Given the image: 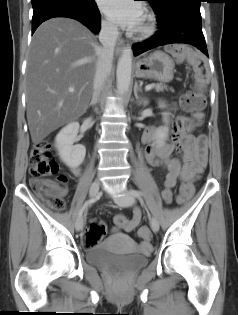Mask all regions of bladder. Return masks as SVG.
<instances>
[{"mask_svg": "<svg viewBox=\"0 0 238 315\" xmlns=\"http://www.w3.org/2000/svg\"><path fill=\"white\" fill-rule=\"evenodd\" d=\"M99 249L116 248H91L87 251L86 260L91 265H104L110 260H116L120 265L127 268H140L146 265L150 250L138 253V256H99Z\"/></svg>", "mask_w": 238, "mask_h": 315, "instance_id": "bladder-1", "label": "bladder"}]
</instances>
